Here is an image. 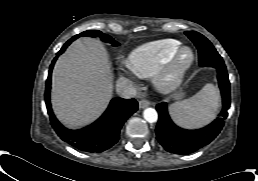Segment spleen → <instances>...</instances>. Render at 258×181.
Instances as JSON below:
<instances>
[{
	"mask_svg": "<svg viewBox=\"0 0 258 181\" xmlns=\"http://www.w3.org/2000/svg\"><path fill=\"white\" fill-rule=\"evenodd\" d=\"M219 100L217 88L209 83L191 98L173 103L169 107V112L179 126L197 128L209 123L215 117Z\"/></svg>",
	"mask_w": 258,
	"mask_h": 181,
	"instance_id": "1",
	"label": "spleen"
}]
</instances>
